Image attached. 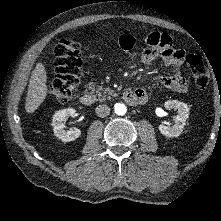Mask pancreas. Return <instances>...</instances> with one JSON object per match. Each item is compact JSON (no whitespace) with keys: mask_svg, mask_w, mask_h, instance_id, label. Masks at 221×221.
<instances>
[{"mask_svg":"<svg viewBox=\"0 0 221 221\" xmlns=\"http://www.w3.org/2000/svg\"><path fill=\"white\" fill-rule=\"evenodd\" d=\"M94 85L92 83L88 84V88L92 89L91 93H95V97L97 100L104 101L106 98L110 99L111 96H115L113 90L110 88H103L102 86L98 87L96 90L93 88Z\"/></svg>","mask_w":221,"mask_h":221,"instance_id":"pancreas-1","label":"pancreas"}]
</instances>
